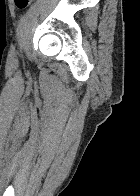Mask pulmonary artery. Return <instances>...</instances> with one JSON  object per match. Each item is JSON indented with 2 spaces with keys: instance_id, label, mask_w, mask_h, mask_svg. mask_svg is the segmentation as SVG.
Instances as JSON below:
<instances>
[{
  "instance_id": "1",
  "label": "pulmonary artery",
  "mask_w": 140,
  "mask_h": 196,
  "mask_svg": "<svg viewBox=\"0 0 140 196\" xmlns=\"http://www.w3.org/2000/svg\"><path fill=\"white\" fill-rule=\"evenodd\" d=\"M42 192H53V191H42Z\"/></svg>"
}]
</instances>
